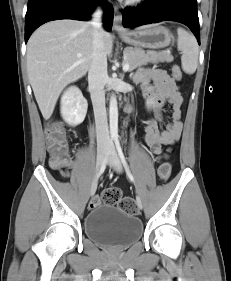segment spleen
Segmentation results:
<instances>
[{"label":"spleen","mask_w":231,"mask_h":281,"mask_svg":"<svg viewBox=\"0 0 231 281\" xmlns=\"http://www.w3.org/2000/svg\"><path fill=\"white\" fill-rule=\"evenodd\" d=\"M177 48L182 52L181 65L187 74L195 73L198 66L199 47L195 37L185 29H177Z\"/></svg>","instance_id":"3e777b00"}]
</instances>
